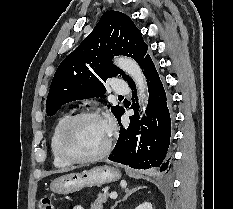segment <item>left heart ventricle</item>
<instances>
[{"instance_id":"obj_1","label":"left heart ventricle","mask_w":233,"mask_h":209,"mask_svg":"<svg viewBox=\"0 0 233 209\" xmlns=\"http://www.w3.org/2000/svg\"><path fill=\"white\" fill-rule=\"evenodd\" d=\"M107 138L108 132L101 119L85 118L72 128L67 148L75 156H91L104 147Z\"/></svg>"}]
</instances>
